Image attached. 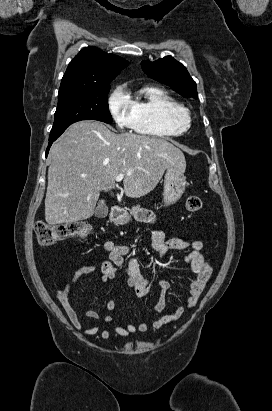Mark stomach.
Instances as JSON below:
<instances>
[{
	"instance_id": "obj_1",
	"label": "stomach",
	"mask_w": 272,
	"mask_h": 411,
	"mask_svg": "<svg viewBox=\"0 0 272 411\" xmlns=\"http://www.w3.org/2000/svg\"><path fill=\"white\" fill-rule=\"evenodd\" d=\"M185 185L186 178L184 172L174 166H170L166 169L163 192V200L166 206L176 203L182 197L185 191ZM129 221L130 217L127 214L114 219V222L117 225H125Z\"/></svg>"
}]
</instances>
